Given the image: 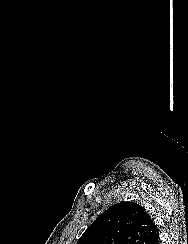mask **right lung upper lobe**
Wrapping results in <instances>:
<instances>
[{
  "instance_id": "obj_1",
  "label": "right lung upper lobe",
  "mask_w": 188,
  "mask_h": 244,
  "mask_svg": "<svg viewBox=\"0 0 188 244\" xmlns=\"http://www.w3.org/2000/svg\"><path fill=\"white\" fill-rule=\"evenodd\" d=\"M158 229L142 206L121 202L103 212L76 244H149Z\"/></svg>"
}]
</instances>
